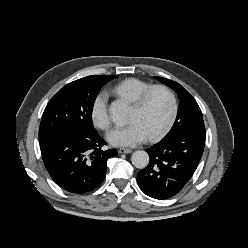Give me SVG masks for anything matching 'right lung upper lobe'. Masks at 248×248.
Returning a JSON list of instances; mask_svg holds the SVG:
<instances>
[{
	"label": "right lung upper lobe",
	"mask_w": 248,
	"mask_h": 248,
	"mask_svg": "<svg viewBox=\"0 0 248 248\" xmlns=\"http://www.w3.org/2000/svg\"><path fill=\"white\" fill-rule=\"evenodd\" d=\"M96 76L103 78V79H108V80L117 78V76H113V75H96Z\"/></svg>",
	"instance_id": "right-lung-upper-lobe-1"
}]
</instances>
